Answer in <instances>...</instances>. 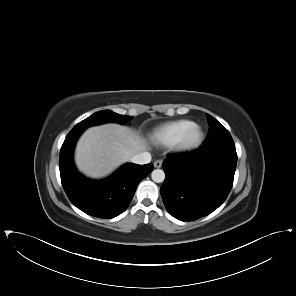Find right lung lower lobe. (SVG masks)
Here are the masks:
<instances>
[{"instance_id":"right-lung-lower-lobe-1","label":"right lung lower lobe","mask_w":296,"mask_h":296,"mask_svg":"<svg viewBox=\"0 0 296 296\" xmlns=\"http://www.w3.org/2000/svg\"><path fill=\"white\" fill-rule=\"evenodd\" d=\"M83 131L72 129L61 147L59 169L63 188L81 211L104 219L114 218L126 210L137 185L152 171L153 164L128 163L105 180L87 179L73 163L74 146Z\"/></svg>"}]
</instances>
